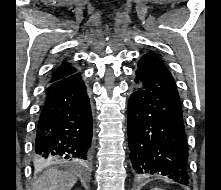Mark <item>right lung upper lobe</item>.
Segmentation results:
<instances>
[{"label": "right lung upper lobe", "instance_id": "right-lung-upper-lobe-1", "mask_svg": "<svg viewBox=\"0 0 221 190\" xmlns=\"http://www.w3.org/2000/svg\"><path fill=\"white\" fill-rule=\"evenodd\" d=\"M76 68H74L70 63L63 61L60 66L53 72L51 80L49 83H53L65 77H68L74 73H76Z\"/></svg>", "mask_w": 221, "mask_h": 190}]
</instances>
